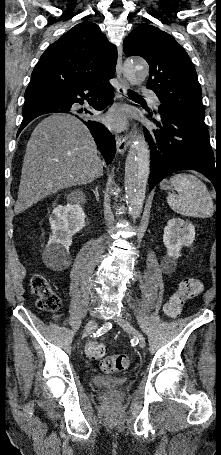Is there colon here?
Listing matches in <instances>:
<instances>
[{
  "mask_svg": "<svg viewBox=\"0 0 221 455\" xmlns=\"http://www.w3.org/2000/svg\"><path fill=\"white\" fill-rule=\"evenodd\" d=\"M32 294L37 297V306L40 310L57 315L61 308V299L47 280L41 274H35L30 280ZM202 291V282L196 278L183 280L179 288L172 294L165 304L164 310L168 317L176 318L181 313L183 305L198 296ZM85 352L92 360H101L100 368L106 373L126 370L131 364V357L127 354L106 355V346L96 341L86 344Z\"/></svg>",
  "mask_w": 221,
  "mask_h": 455,
  "instance_id": "5ec220e1",
  "label": "colon"
}]
</instances>
